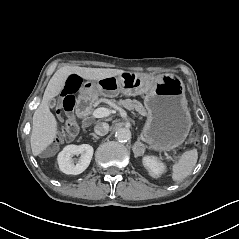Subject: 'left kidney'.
Returning a JSON list of instances; mask_svg holds the SVG:
<instances>
[{
    "label": "left kidney",
    "instance_id": "1",
    "mask_svg": "<svg viewBox=\"0 0 239 239\" xmlns=\"http://www.w3.org/2000/svg\"><path fill=\"white\" fill-rule=\"evenodd\" d=\"M143 164L149 169L150 174L154 177L159 176L163 170V166L155 158L146 157L143 159Z\"/></svg>",
    "mask_w": 239,
    "mask_h": 239
}]
</instances>
